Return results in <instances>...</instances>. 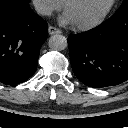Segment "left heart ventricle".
<instances>
[{"label":"left heart ventricle","mask_w":128,"mask_h":128,"mask_svg":"<svg viewBox=\"0 0 128 128\" xmlns=\"http://www.w3.org/2000/svg\"><path fill=\"white\" fill-rule=\"evenodd\" d=\"M110 0H76L67 9L74 24L86 23L96 18Z\"/></svg>","instance_id":"b2bd125f"}]
</instances>
